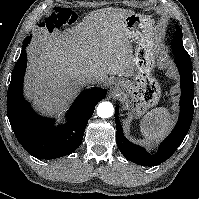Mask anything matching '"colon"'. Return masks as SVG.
Returning <instances> with one entry per match:
<instances>
[{"label": "colon", "mask_w": 199, "mask_h": 199, "mask_svg": "<svg viewBox=\"0 0 199 199\" xmlns=\"http://www.w3.org/2000/svg\"><path fill=\"white\" fill-rule=\"evenodd\" d=\"M75 21L74 13L68 8H59L45 19L43 27L52 32L63 25L72 24Z\"/></svg>", "instance_id": "obj_1"}]
</instances>
